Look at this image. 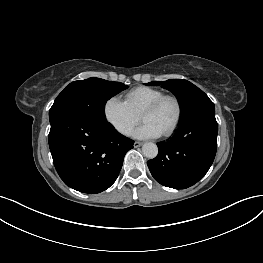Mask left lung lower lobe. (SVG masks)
<instances>
[{
	"instance_id": "left-lung-lower-lobe-1",
	"label": "left lung lower lobe",
	"mask_w": 263,
	"mask_h": 263,
	"mask_svg": "<svg viewBox=\"0 0 263 263\" xmlns=\"http://www.w3.org/2000/svg\"><path fill=\"white\" fill-rule=\"evenodd\" d=\"M217 133L215 114L180 124L170 140L158 143V155L147 162L154 179L174 189H185L197 183L213 163Z\"/></svg>"
}]
</instances>
